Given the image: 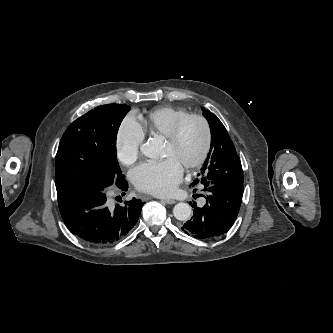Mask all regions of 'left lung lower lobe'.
<instances>
[{"instance_id": "left-lung-lower-lobe-1", "label": "left lung lower lobe", "mask_w": 333, "mask_h": 333, "mask_svg": "<svg viewBox=\"0 0 333 333\" xmlns=\"http://www.w3.org/2000/svg\"><path fill=\"white\" fill-rule=\"evenodd\" d=\"M201 184L206 195V204L198 207L193 201L194 208L191 220L187 221L182 230L197 239H213L226 233L233 225L243 196V184L210 185L197 180L192 185Z\"/></svg>"}]
</instances>
